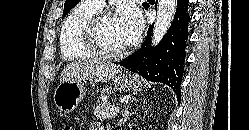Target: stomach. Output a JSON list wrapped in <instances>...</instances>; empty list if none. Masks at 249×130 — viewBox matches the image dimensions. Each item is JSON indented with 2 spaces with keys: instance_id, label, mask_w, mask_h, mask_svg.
<instances>
[{
  "instance_id": "obj_1",
  "label": "stomach",
  "mask_w": 249,
  "mask_h": 130,
  "mask_svg": "<svg viewBox=\"0 0 249 130\" xmlns=\"http://www.w3.org/2000/svg\"><path fill=\"white\" fill-rule=\"evenodd\" d=\"M116 90L125 91L130 88L138 89L142 86L141 80L136 76L116 75L112 79ZM85 95V88L81 81H65L60 83L54 91V103L64 112H72Z\"/></svg>"
}]
</instances>
